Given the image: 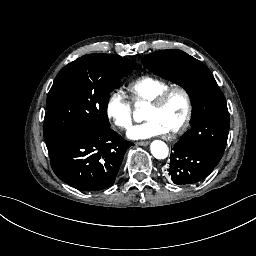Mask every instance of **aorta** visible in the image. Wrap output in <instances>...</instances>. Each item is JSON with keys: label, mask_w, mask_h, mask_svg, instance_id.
<instances>
[{"label": "aorta", "mask_w": 256, "mask_h": 256, "mask_svg": "<svg viewBox=\"0 0 256 256\" xmlns=\"http://www.w3.org/2000/svg\"><path fill=\"white\" fill-rule=\"evenodd\" d=\"M150 151L153 157L156 159H165L169 154V148L167 144L161 140H154L150 144Z\"/></svg>", "instance_id": "1"}]
</instances>
